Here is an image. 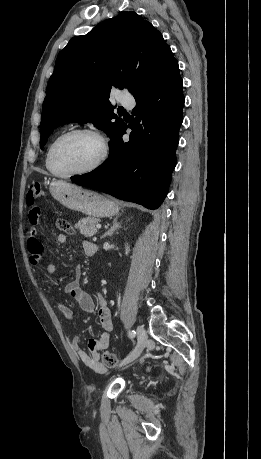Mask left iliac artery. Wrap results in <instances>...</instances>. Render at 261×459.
Returning <instances> with one entry per match:
<instances>
[{"instance_id":"44dca946","label":"left iliac artery","mask_w":261,"mask_h":459,"mask_svg":"<svg viewBox=\"0 0 261 459\" xmlns=\"http://www.w3.org/2000/svg\"><path fill=\"white\" fill-rule=\"evenodd\" d=\"M135 334H136L135 331L132 330V331L129 332V337H130V338H134V337H135Z\"/></svg>"}]
</instances>
